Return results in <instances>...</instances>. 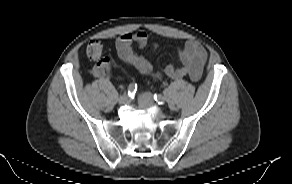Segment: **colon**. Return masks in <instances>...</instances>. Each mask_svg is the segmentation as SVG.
<instances>
[{
  "label": "colon",
  "mask_w": 292,
  "mask_h": 184,
  "mask_svg": "<svg viewBox=\"0 0 292 184\" xmlns=\"http://www.w3.org/2000/svg\"><path fill=\"white\" fill-rule=\"evenodd\" d=\"M103 51V45L100 41H91L86 49L87 56L90 60L96 61L101 57Z\"/></svg>",
  "instance_id": "colon-1"
}]
</instances>
